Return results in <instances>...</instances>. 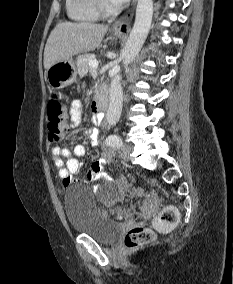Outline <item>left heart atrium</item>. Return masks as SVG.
I'll list each match as a JSON object with an SVG mask.
<instances>
[{
    "label": "left heart atrium",
    "instance_id": "left-heart-atrium-1",
    "mask_svg": "<svg viewBox=\"0 0 233 284\" xmlns=\"http://www.w3.org/2000/svg\"><path fill=\"white\" fill-rule=\"evenodd\" d=\"M127 1L128 0H111L114 5H121L123 3H126Z\"/></svg>",
    "mask_w": 233,
    "mask_h": 284
}]
</instances>
